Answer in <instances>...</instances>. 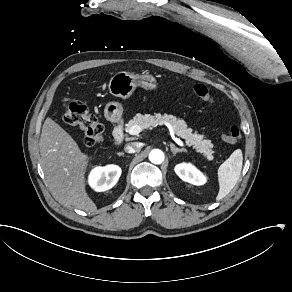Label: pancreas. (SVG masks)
Instances as JSON below:
<instances>
[{"label": "pancreas", "mask_w": 292, "mask_h": 292, "mask_svg": "<svg viewBox=\"0 0 292 292\" xmlns=\"http://www.w3.org/2000/svg\"><path fill=\"white\" fill-rule=\"evenodd\" d=\"M162 122H168L174 133L179 138L184 139L187 144L192 145L195 151L205 157L206 160L211 161L214 159L212 155L214 153V145L211 140L204 139L202 134L193 133L191 128H187L184 121L179 120L172 115L155 113L154 115L145 114L143 116L142 114H137L133 120L129 121L126 129L138 126L142 131L151 127H156Z\"/></svg>", "instance_id": "obj_1"}]
</instances>
